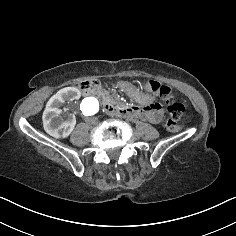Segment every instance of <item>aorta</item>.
I'll return each mask as SVG.
<instances>
[{"label": "aorta", "mask_w": 236, "mask_h": 236, "mask_svg": "<svg viewBox=\"0 0 236 236\" xmlns=\"http://www.w3.org/2000/svg\"><path fill=\"white\" fill-rule=\"evenodd\" d=\"M99 100L96 97L90 96L82 100L80 111L84 118L95 116L99 112Z\"/></svg>", "instance_id": "1"}]
</instances>
